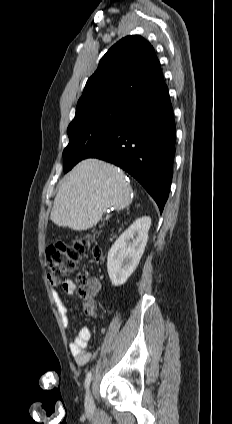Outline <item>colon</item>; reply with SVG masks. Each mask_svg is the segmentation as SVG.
I'll return each mask as SVG.
<instances>
[{
  "label": "colon",
  "instance_id": "5ec220e1",
  "mask_svg": "<svg viewBox=\"0 0 232 424\" xmlns=\"http://www.w3.org/2000/svg\"><path fill=\"white\" fill-rule=\"evenodd\" d=\"M89 244L90 238H81L72 244L57 243L49 246L45 253L49 281L52 284L64 283L69 274L75 270L79 259L86 253ZM77 279L81 285L83 309L86 314L92 315L95 313V305L92 300L93 281H90L84 273L79 274Z\"/></svg>",
  "mask_w": 232,
  "mask_h": 424
}]
</instances>
